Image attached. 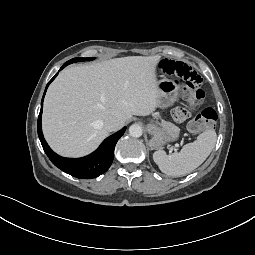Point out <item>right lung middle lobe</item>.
Instances as JSON below:
<instances>
[{
    "instance_id": "right-lung-middle-lobe-1",
    "label": "right lung middle lobe",
    "mask_w": 255,
    "mask_h": 255,
    "mask_svg": "<svg viewBox=\"0 0 255 255\" xmlns=\"http://www.w3.org/2000/svg\"><path fill=\"white\" fill-rule=\"evenodd\" d=\"M94 58H74V59H71L70 61L73 62H78V61H89V60H93Z\"/></svg>"
}]
</instances>
